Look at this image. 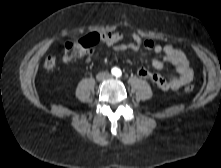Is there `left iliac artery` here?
Wrapping results in <instances>:
<instances>
[{"label":"left iliac artery","instance_id":"44dca946","mask_svg":"<svg viewBox=\"0 0 221 168\" xmlns=\"http://www.w3.org/2000/svg\"><path fill=\"white\" fill-rule=\"evenodd\" d=\"M122 75L121 71L118 72L117 76L120 77Z\"/></svg>","mask_w":221,"mask_h":168}]
</instances>
